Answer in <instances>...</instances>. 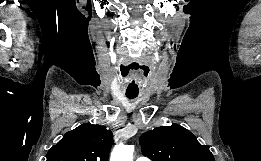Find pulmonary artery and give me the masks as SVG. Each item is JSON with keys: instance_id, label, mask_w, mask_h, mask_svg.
Wrapping results in <instances>:
<instances>
[{"instance_id": "obj_1", "label": "pulmonary artery", "mask_w": 261, "mask_h": 161, "mask_svg": "<svg viewBox=\"0 0 261 161\" xmlns=\"http://www.w3.org/2000/svg\"><path fill=\"white\" fill-rule=\"evenodd\" d=\"M136 161H151L148 157L139 156Z\"/></svg>"}]
</instances>
